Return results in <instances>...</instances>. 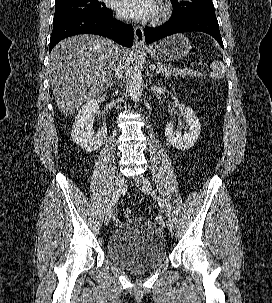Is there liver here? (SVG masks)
<instances>
[{
  "label": "liver",
  "instance_id": "liver-1",
  "mask_svg": "<svg viewBox=\"0 0 272 303\" xmlns=\"http://www.w3.org/2000/svg\"><path fill=\"white\" fill-rule=\"evenodd\" d=\"M126 51L97 35H77L60 41L49 56L52 92L61 113L68 117L83 103L109 87L119 58Z\"/></svg>",
  "mask_w": 272,
  "mask_h": 303
}]
</instances>
